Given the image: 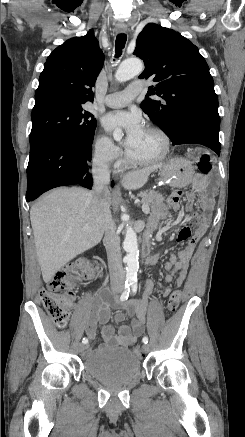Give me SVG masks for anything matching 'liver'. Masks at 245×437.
Segmentation results:
<instances>
[{
    "label": "liver",
    "mask_w": 245,
    "mask_h": 437,
    "mask_svg": "<svg viewBox=\"0 0 245 437\" xmlns=\"http://www.w3.org/2000/svg\"><path fill=\"white\" fill-rule=\"evenodd\" d=\"M156 169L153 166L129 172L121 184L127 190L139 189ZM106 198L113 201L109 190ZM30 219L46 283L71 259L97 245L105 232L101 196L82 188H58L43 196L31 207Z\"/></svg>",
    "instance_id": "obj_1"
}]
</instances>
